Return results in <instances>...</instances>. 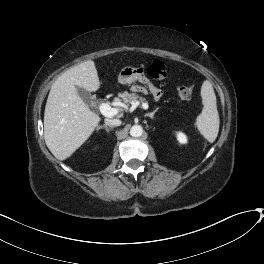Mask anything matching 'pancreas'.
Returning a JSON list of instances; mask_svg holds the SVG:
<instances>
[{
	"instance_id": "pancreas-1",
	"label": "pancreas",
	"mask_w": 264,
	"mask_h": 264,
	"mask_svg": "<svg viewBox=\"0 0 264 264\" xmlns=\"http://www.w3.org/2000/svg\"><path fill=\"white\" fill-rule=\"evenodd\" d=\"M119 97L126 104H132V103H136L138 101H140L142 103L146 102L145 98L140 97L136 93H128L126 91L119 93Z\"/></svg>"
}]
</instances>
